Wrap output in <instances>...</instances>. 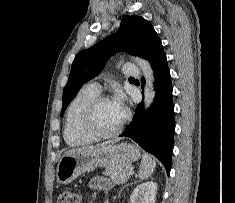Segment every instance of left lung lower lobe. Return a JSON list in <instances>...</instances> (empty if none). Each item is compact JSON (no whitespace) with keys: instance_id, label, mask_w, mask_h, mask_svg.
Masks as SVG:
<instances>
[{"instance_id":"1","label":"left lung lower lobe","mask_w":235,"mask_h":203,"mask_svg":"<svg viewBox=\"0 0 235 203\" xmlns=\"http://www.w3.org/2000/svg\"><path fill=\"white\" fill-rule=\"evenodd\" d=\"M146 59L150 61L155 74L156 97L147 111H144L142 103L137 105L133 121L120 136L133 139L145 151L153 154L169 175L175 129L174 104L170 71L161 40L154 44Z\"/></svg>"}]
</instances>
